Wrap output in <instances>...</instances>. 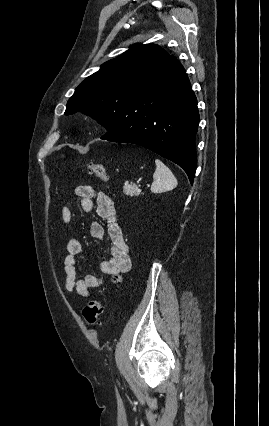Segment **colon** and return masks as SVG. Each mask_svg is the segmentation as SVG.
<instances>
[{"label": "colon", "instance_id": "obj_1", "mask_svg": "<svg viewBox=\"0 0 269 426\" xmlns=\"http://www.w3.org/2000/svg\"><path fill=\"white\" fill-rule=\"evenodd\" d=\"M87 171L97 178L107 181L109 179L106 168L101 163L90 162L86 166ZM103 313V304L99 298H91L83 309V317L85 321L92 326L99 323Z\"/></svg>", "mask_w": 269, "mask_h": 426}]
</instances>
